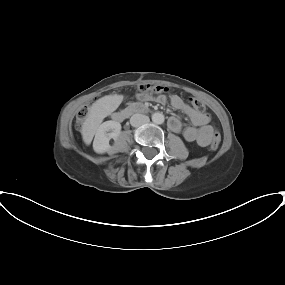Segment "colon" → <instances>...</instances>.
<instances>
[{"mask_svg": "<svg viewBox=\"0 0 285 285\" xmlns=\"http://www.w3.org/2000/svg\"><path fill=\"white\" fill-rule=\"evenodd\" d=\"M138 90L142 95H151V94H162L167 91V88L161 85H151L148 83H143L138 86ZM190 103L194 108L198 110H205V104L203 103L202 100L198 98H191ZM87 114H88V109L86 107L80 110L76 120V124L78 127L82 125ZM211 134H212L211 148L215 150L218 148L221 141V134L217 126L215 125L211 126Z\"/></svg>", "mask_w": 285, "mask_h": 285, "instance_id": "5ec220e1", "label": "colon"}]
</instances>
